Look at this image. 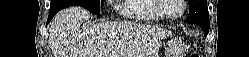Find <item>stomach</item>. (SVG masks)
I'll return each instance as SVG.
<instances>
[{
    "mask_svg": "<svg viewBox=\"0 0 249 57\" xmlns=\"http://www.w3.org/2000/svg\"><path fill=\"white\" fill-rule=\"evenodd\" d=\"M181 50H182L181 41H179V40L172 41L170 43V50L167 53L168 56H166V57H178L176 55H179Z\"/></svg>",
    "mask_w": 249,
    "mask_h": 57,
    "instance_id": "1",
    "label": "stomach"
}]
</instances>
